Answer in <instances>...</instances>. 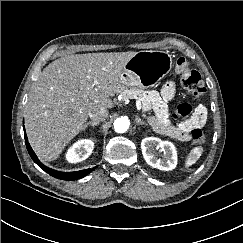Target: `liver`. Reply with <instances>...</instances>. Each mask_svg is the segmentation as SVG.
Returning a JSON list of instances; mask_svg holds the SVG:
<instances>
[{
  "instance_id": "1",
  "label": "liver",
  "mask_w": 243,
  "mask_h": 243,
  "mask_svg": "<svg viewBox=\"0 0 243 243\" xmlns=\"http://www.w3.org/2000/svg\"><path fill=\"white\" fill-rule=\"evenodd\" d=\"M135 52L67 55L51 62L34 82L25 106V127L35 153L55 160L84 129L89 112L110 109L120 74Z\"/></svg>"
}]
</instances>
